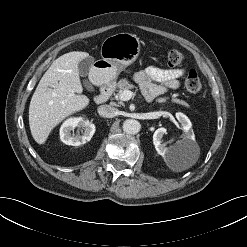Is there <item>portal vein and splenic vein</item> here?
<instances>
[{
    "mask_svg": "<svg viewBox=\"0 0 247 247\" xmlns=\"http://www.w3.org/2000/svg\"><path fill=\"white\" fill-rule=\"evenodd\" d=\"M133 95H134V93L132 91L124 90L120 93L119 99L122 101H128L132 98Z\"/></svg>",
    "mask_w": 247,
    "mask_h": 247,
    "instance_id": "portal-vein-and-splenic-vein-1",
    "label": "portal vein and splenic vein"
}]
</instances>
